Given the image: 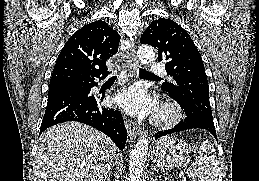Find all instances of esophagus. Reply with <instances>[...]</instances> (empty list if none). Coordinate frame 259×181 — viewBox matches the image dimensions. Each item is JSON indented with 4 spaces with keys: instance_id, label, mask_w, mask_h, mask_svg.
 <instances>
[{
    "instance_id": "esophagus-1",
    "label": "esophagus",
    "mask_w": 259,
    "mask_h": 181,
    "mask_svg": "<svg viewBox=\"0 0 259 181\" xmlns=\"http://www.w3.org/2000/svg\"><path fill=\"white\" fill-rule=\"evenodd\" d=\"M120 49L127 60V69L130 75H133L137 64L133 42L127 38H123L120 43ZM126 127L131 138H136L142 133V129L131 120H126Z\"/></svg>"
}]
</instances>
